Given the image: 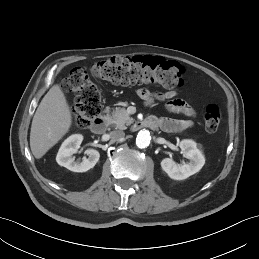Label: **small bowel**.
Returning <instances> with one entry per match:
<instances>
[{
	"label": "small bowel",
	"instance_id": "c3829d8e",
	"mask_svg": "<svg viewBox=\"0 0 259 259\" xmlns=\"http://www.w3.org/2000/svg\"><path fill=\"white\" fill-rule=\"evenodd\" d=\"M137 95L147 106H152L155 100H167L166 109L169 112L183 114L188 117V119L153 118L158 121L162 129L166 131H179L193 125L195 111L187 102L177 98L176 91L151 92L146 88H140L137 90Z\"/></svg>",
	"mask_w": 259,
	"mask_h": 259
}]
</instances>
